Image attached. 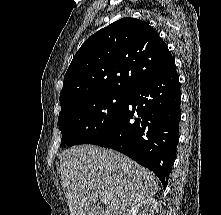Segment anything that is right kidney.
Segmentation results:
<instances>
[{"mask_svg":"<svg viewBox=\"0 0 221 215\" xmlns=\"http://www.w3.org/2000/svg\"><path fill=\"white\" fill-rule=\"evenodd\" d=\"M156 208L157 201L149 197L132 207L126 215H154Z\"/></svg>","mask_w":221,"mask_h":215,"instance_id":"ca27d5eb","label":"right kidney"}]
</instances>
